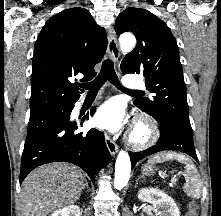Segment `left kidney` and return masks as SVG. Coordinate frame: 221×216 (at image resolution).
Returning a JSON list of instances; mask_svg holds the SVG:
<instances>
[{"label": "left kidney", "instance_id": "5707ae66", "mask_svg": "<svg viewBox=\"0 0 221 216\" xmlns=\"http://www.w3.org/2000/svg\"><path fill=\"white\" fill-rule=\"evenodd\" d=\"M138 199L151 203L155 216H180L175 201L163 191L158 189H141L138 191Z\"/></svg>", "mask_w": 221, "mask_h": 216}]
</instances>
